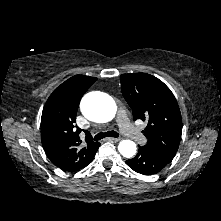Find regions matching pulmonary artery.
Instances as JSON below:
<instances>
[{
  "mask_svg": "<svg viewBox=\"0 0 221 221\" xmlns=\"http://www.w3.org/2000/svg\"><path fill=\"white\" fill-rule=\"evenodd\" d=\"M117 122L123 134L132 138L136 142L144 141V136L129 123L128 118L123 110H119Z\"/></svg>",
  "mask_w": 221,
  "mask_h": 221,
  "instance_id": "e3ab8cb5",
  "label": "pulmonary artery"
}]
</instances>
